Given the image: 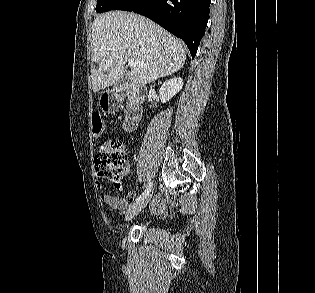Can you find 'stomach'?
Here are the masks:
<instances>
[{
    "label": "stomach",
    "mask_w": 315,
    "mask_h": 293,
    "mask_svg": "<svg viewBox=\"0 0 315 293\" xmlns=\"http://www.w3.org/2000/svg\"><path fill=\"white\" fill-rule=\"evenodd\" d=\"M120 103H122V96L119 92H102L101 99L99 100V106L103 112H109L110 110H119Z\"/></svg>",
    "instance_id": "obj_1"
}]
</instances>
